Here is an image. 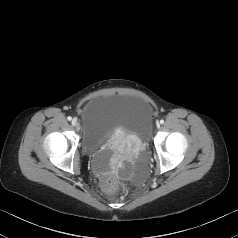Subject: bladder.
<instances>
[{"label": "bladder", "mask_w": 238, "mask_h": 238, "mask_svg": "<svg viewBox=\"0 0 238 238\" xmlns=\"http://www.w3.org/2000/svg\"><path fill=\"white\" fill-rule=\"evenodd\" d=\"M152 106L138 95L108 93L89 99L81 112L82 148L97 174L111 169V153L103 150L116 137L145 141L152 129Z\"/></svg>", "instance_id": "obj_1"}]
</instances>
